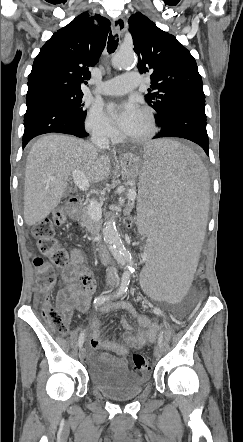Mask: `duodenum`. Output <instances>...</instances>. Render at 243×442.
<instances>
[{
	"label": "duodenum",
	"mask_w": 243,
	"mask_h": 442,
	"mask_svg": "<svg viewBox=\"0 0 243 442\" xmlns=\"http://www.w3.org/2000/svg\"><path fill=\"white\" fill-rule=\"evenodd\" d=\"M81 201L78 198H73L68 201V214L75 216L77 214V211L80 207ZM97 255L99 260L102 263H107L112 260V256L110 254L109 248L107 246H101L98 251Z\"/></svg>",
	"instance_id": "1"
}]
</instances>
